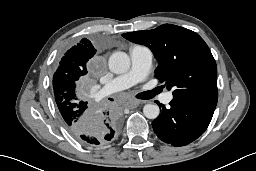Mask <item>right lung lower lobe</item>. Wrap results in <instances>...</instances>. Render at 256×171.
<instances>
[{
  "instance_id": "obj_1",
  "label": "right lung lower lobe",
  "mask_w": 256,
  "mask_h": 171,
  "mask_svg": "<svg viewBox=\"0 0 256 171\" xmlns=\"http://www.w3.org/2000/svg\"><path fill=\"white\" fill-rule=\"evenodd\" d=\"M76 111L83 109L84 118L78 127L69 130L81 143L99 146L110 143L121 127V116L116 107H101L80 103Z\"/></svg>"
}]
</instances>
